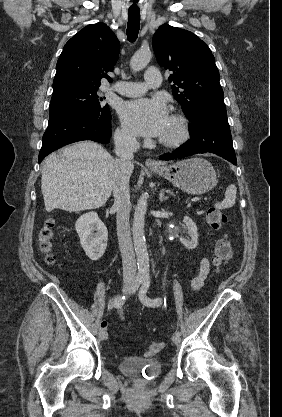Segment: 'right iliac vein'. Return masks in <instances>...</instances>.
<instances>
[{
  "label": "right iliac vein",
  "instance_id": "right-iliac-vein-1",
  "mask_svg": "<svg viewBox=\"0 0 282 417\" xmlns=\"http://www.w3.org/2000/svg\"><path fill=\"white\" fill-rule=\"evenodd\" d=\"M132 289H133V285L131 283H125L123 285L122 291L123 293H127V292H130ZM99 338L101 340H106L108 338V333L106 331H101L99 333Z\"/></svg>",
  "mask_w": 282,
  "mask_h": 417
}]
</instances>
